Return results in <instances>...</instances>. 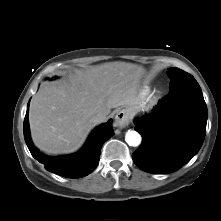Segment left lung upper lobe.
I'll use <instances>...</instances> for the list:
<instances>
[{
    "instance_id": "5c2ea615",
    "label": "left lung upper lobe",
    "mask_w": 221,
    "mask_h": 221,
    "mask_svg": "<svg viewBox=\"0 0 221 221\" xmlns=\"http://www.w3.org/2000/svg\"><path fill=\"white\" fill-rule=\"evenodd\" d=\"M167 73L170 78L169 89H173L182 82L195 80L192 75L186 73L179 68H169V71Z\"/></svg>"
}]
</instances>
